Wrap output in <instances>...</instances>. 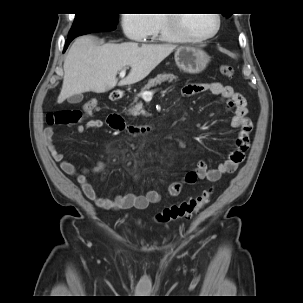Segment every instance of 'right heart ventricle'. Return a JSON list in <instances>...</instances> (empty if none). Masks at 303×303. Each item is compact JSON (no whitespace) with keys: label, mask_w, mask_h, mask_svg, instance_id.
I'll return each instance as SVG.
<instances>
[{"label":"right heart ventricle","mask_w":303,"mask_h":303,"mask_svg":"<svg viewBox=\"0 0 303 303\" xmlns=\"http://www.w3.org/2000/svg\"><path fill=\"white\" fill-rule=\"evenodd\" d=\"M155 21V27L149 35L152 39H162L169 42L182 41L180 37L169 30L165 14L152 15Z\"/></svg>","instance_id":"right-heart-ventricle-1"}]
</instances>
